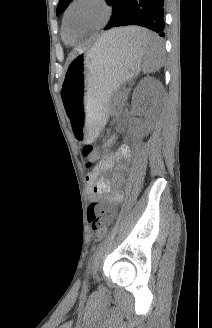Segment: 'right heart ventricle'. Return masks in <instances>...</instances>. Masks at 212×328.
Masks as SVG:
<instances>
[{
    "label": "right heart ventricle",
    "mask_w": 212,
    "mask_h": 328,
    "mask_svg": "<svg viewBox=\"0 0 212 328\" xmlns=\"http://www.w3.org/2000/svg\"><path fill=\"white\" fill-rule=\"evenodd\" d=\"M63 37L66 43L68 44H74L77 41V36L74 34H71L69 31H66L63 28Z\"/></svg>",
    "instance_id": "obj_1"
}]
</instances>
